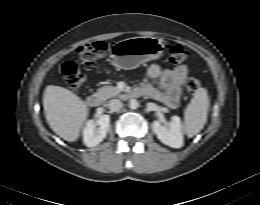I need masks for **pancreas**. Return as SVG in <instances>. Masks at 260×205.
<instances>
[{"label":"pancreas","instance_id":"1","mask_svg":"<svg viewBox=\"0 0 260 205\" xmlns=\"http://www.w3.org/2000/svg\"><path fill=\"white\" fill-rule=\"evenodd\" d=\"M121 90L118 87L114 86H103L98 89L96 95L101 98L102 100H107L118 95Z\"/></svg>","mask_w":260,"mask_h":205}]
</instances>
